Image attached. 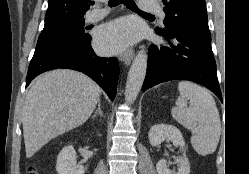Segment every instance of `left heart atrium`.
<instances>
[{
    "mask_svg": "<svg viewBox=\"0 0 249 174\" xmlns=\"http://www.w3.org/2000/svg\"><path fill=\"white\" fill-rule=\"evenodd\" d=\"M142 35L140 23L130 17L105 25L97 34L96 45L105 54H115L136 42Z\"/></svg>",
    "mask_w": 249,
    "mask_h": 174,
    "instance_id": "obj_1",
    "label": "left heart atrium"
}]
</instances>
